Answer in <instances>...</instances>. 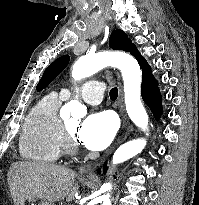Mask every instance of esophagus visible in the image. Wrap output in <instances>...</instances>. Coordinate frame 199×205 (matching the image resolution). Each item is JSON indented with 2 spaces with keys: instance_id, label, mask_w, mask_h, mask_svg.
<instances>
[{
  "instance_id": "1",
  "label": "esophagus",
  "mask_w": 199,
  "mask_h": 205,
  "mask_svg": "<svg viewBox=\"0 0 199 205\" xmlns=\"http://www.w3.org/2000/svg\"><path fill=\"white\" fill-rule=\"evenodd\" d=\"M117 78L118 80L120 79L119 73L116 72ZM118 104H119V111H120V116H121V120H122V131H121V135L118 137V139L116 140V142L110 147V149H108L100 159H98L97 161L93 162V163H88V164H84L79 168V175L82 177H94V170L101 166L104 161L106 160V158L110 155V153L114 150V148L120 144L124 139H126V137L128 136L129 132H130V123L129 120L127 118V115L124 111V107H123V99H122V91L119 90V96H118Z\"/></svg>"
}]
</instances>
